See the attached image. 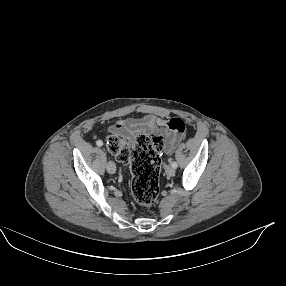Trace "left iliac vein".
I'll return each mask as SVG.
<instances>
[{
	"label": "left iliac vein",
	"mask_w": 286,
	"mask_h": 286,
	"mask_svg": "<svg viewBox=\"0 0 286 286\" xmlns=\"http://www.w3.org/2000/svg\"><path fill=\"white\" fill-rule=\"evenodd\" d=\"M165 173H166L167 176L172 177L175 174V169L172 166L168 165L165 168Z\"/></svg>",
	"instance_id": "1"
}]
</instances>
